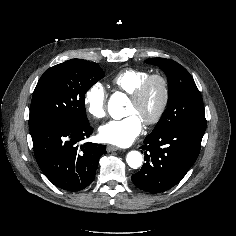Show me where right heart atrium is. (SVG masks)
<instances>
[{
    "instance_id": "obj_1",
    "label": "right heart atrium",
    "mask_w": 236,
    "mask_h": 236,
    "mask_svg": "<svg viewBox=\"0 0 236 236\" xmlns=\"http://www.w3.org/2000/svg\"><path fill=\"white\" fill-rule=\"evenodd\" d=\"M107 94L102 84L95 83L84 94V105L88 114L100 119L106 113Z\"/></svg>"
}]
</instances>
